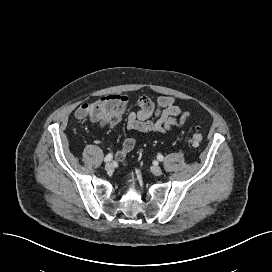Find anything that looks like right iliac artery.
Here are the masks:
<instances>
[{
  "label": "right iliac artery",
  "instance_id": "1",
  "mask_svg": "<svg viewBox=\"0 0 272 272\" xmlns=\"http://www.w3.org/2000/svg\"><path fill=\"white\" fill-rule=\"evenodd\" d=\"M112 158H113V155H112L111 153H109V154H107V155L105 156L104 161H105V162H109V161L112 160Z\"/></svg>",
  "mask_w": 272,
  "mask_h": 272
}]
</instances>
